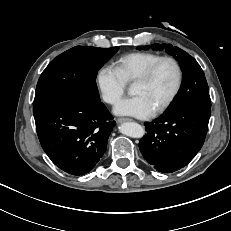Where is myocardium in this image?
Here are the masks:
<instances>
[{
	"mask_svg": "<svg viewBox=\"0 0 231 231\" xmlns=\"http://www.w3.org/2000/svg\"><path fill=\"white\" fill-rule=\"evenodd\" d=\"M163 62H171L177 73V80L176 84L171 92V94L168 96V98L158 107L155 109L154 113L159 114L165 111L176 99L178 96L182 85L184 81V73L183 68L180 64V62L172 56H162L159 59H157L154 63H152L144 72H142L134 81V83H145L148 82L154 73L156 72L157 68L163 63Z\"/></svg>",
	"mask_w": 231,
	"mask_h": 231,
	"instance_id": "f54148a6",
	"label": "myocardium"
}]
</instances>
